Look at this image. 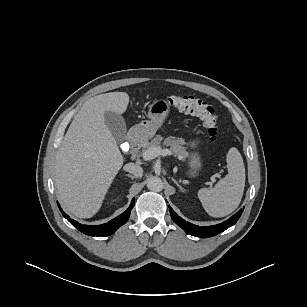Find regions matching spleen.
Returning <instances> with one entry per match:
<instances>
[{
    "instance_id": "obj_1",
    "label": "spleen",
    "mask_w": 307,
    "mask_h": 307,
    "mask_svg": "<svg viewBox=\"0 0 307 307\" xmlns=\"http://www.w3.org/2000/svg\"><path fill=\"white\" fill-rule=\"evenodd\" d=\"M228 174L213 188H202L198 198L212 217H224L240 204L245 187V166L240 152L232 147L227 153Z\"/></svg>"
}]
</instances>
